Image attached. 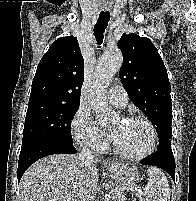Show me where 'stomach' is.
I'll list each match as a JSON object with an SVG mask.
<instances>
[{
  "instance_id": "stomach-1",
  "label": "stomach",
  "mask_w": 196,
  "mask_h": 201,
  "mask_svg": "<svg viewBox=\"0 0 196 201\" xmlns=\"http://www.w3.org/2000/svg\"><path fill=\"white\" fill-rule=\"evenodd\" d=\"M116 182L123 187L133 189L140 180V174L131 166L123 165L110 171Z\"/></svg>"
}]
</instances>
